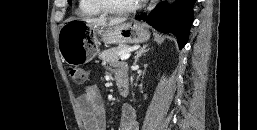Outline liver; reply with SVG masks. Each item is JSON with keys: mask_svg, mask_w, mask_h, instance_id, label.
Here are the masks:
<instances>
[{"mask_svg": "<svg viewBox=\"0 0 257 130\" xmlns=\"http://www.w3.org/2000/svg\"><path fill=\"white\" fill-rule=\"evenodd\" d=\"M127 19L126 18H112V19H107L105 17H100V18H87L84 19L87 24L90 26H95V27H111L118 25L120 23L125 22Z\"/></svg>", "mask_w": 257, "mask_h": 130, "instance_id": "1", "label": "liver"}]
</instances>
